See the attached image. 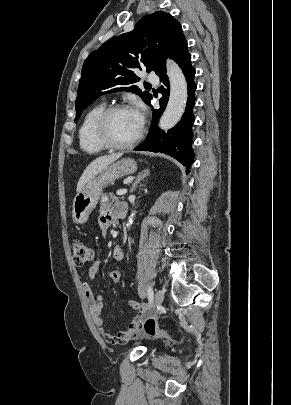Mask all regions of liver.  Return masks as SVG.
Returning <instances> with one entry per match:
<instances>
[{
    "label": "liver",
    "mask_w": 291,
    "mask_h": 405,
    "mask_svg": "<svg viewBox=\"0 0 291 405\" xmlns=\"http://www.w3.org/2000/svg\"><path fill=\"white\" fill-rule=\"evenodd\" d=\"M122 154H111L107 156H101L94 161H92L85 171L83 172L82 176L80 177L78 184H77V192L79 193L82 188L97 174H99L102 170H104L107 166L111 163L116 161L120 158Z\"/></svg>",
    "instance_id": "6515ba94"
}]
</instances>
